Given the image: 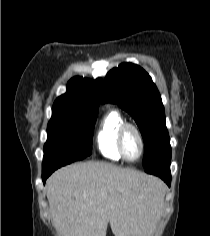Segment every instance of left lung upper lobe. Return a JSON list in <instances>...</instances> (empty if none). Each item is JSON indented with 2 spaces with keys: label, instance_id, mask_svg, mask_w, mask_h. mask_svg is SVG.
Masks as SVG:
<instances>
[{
  "label": "left lung upper lobe",
  "instance_id": "obj_1",
  "mask_svg": "<svg viewBox=\"0 0 210 236\" xmlns=\"http://www.w3.org/2000/svg\"><path fill=\"white\" fill-rule=\"evenodd\" d=\"M102 88V102L118 104L137 123L145 144L144 167L171 149L161 96L145 70L123 63L107 73Z\"/></svg>",
  "mask_w": 210,
  "mask_h": 236
}]
</instances>
